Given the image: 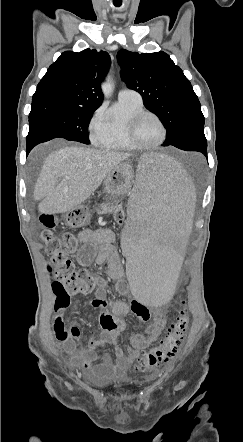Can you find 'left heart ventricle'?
I'll return each instance as SVG.
<instances>
[{
	"label": "left heart ventricle",
	"instance_id": "obj_1",
	"mask_svg": "<svg viewBox=\"0 0 243 442\" xmlns=\"http://www.w3.org/2000/svg\"><path fill=\"white\" fill-rule=\"evenodd\" d=\"M136 137L142 144L153 145L162 137L161 126L154 117L146 116L137 125Z\"/></svg>",
	"mask_w": 243,
	"mask_h": 442
}]
</instances>
